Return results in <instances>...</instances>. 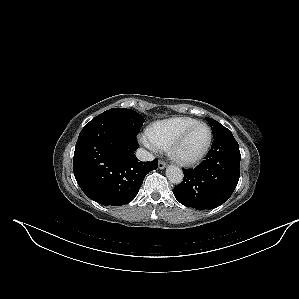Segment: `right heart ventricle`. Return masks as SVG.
<instances>
[{
    "label": "right heart ventricle",
    "instance_id": "right-heart-ventricle-1",
    "mask_svg": "<svg viewBox=\"0 0 299 299\" xmlns=\"http://www.w3.org/2000/svg\"><path fill=\"white\" fill-rule=\"evenodd\" d=\"M198 122L188 117H173L152 123L147 137L158 148H169L174 139L187 127Z\"/></svg>",
    "mask_w": 299,
    "mask_h": 299
}]
</instances>
